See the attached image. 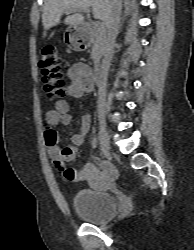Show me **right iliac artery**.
Returning a JSON list of instances; mask_svg holds the SVG:
<instances>
[{
    "instance_id": "1",
    "label": "right iliac artery",
    "mask_w": 194,
    "mask_h": 250,
    "mask_svg": "<svg viewBox=\"0 0 194 250\" xmlns=\"http://www.w3.org/2000/svg\"><path fill=\"white\" fill-rule=\"evenodd\" d=\"M97 145H98V141H97V138L95 137V138H93V140H92V147H93V148H97Z\"/></svg>"
}]
</instances>
